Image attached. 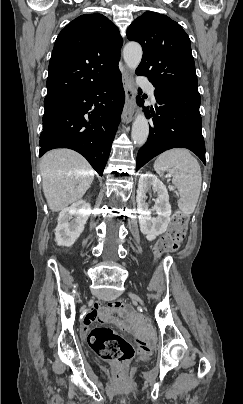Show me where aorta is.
I'll return each mask as SVG.
<instances>
[{
  "mask_svg": "<svg viewBox=\"0 0 243 404\" xmlns=\"http://www.w3.org/2000/svg\"><path fill=\"white\" fill-rule=\"evenodd\" d=\"M142 48L137 42H128L123 50V58L127 68L135 72L142 60ZM149 136V124L144 114H136L132 124L131 140L136 146H144Z\"/></svg>",
  "mask_w": 243,
  "mask_h": 404,
  "instance_id": "obj_1",
  "label": "aorta"
}]
</instances>
